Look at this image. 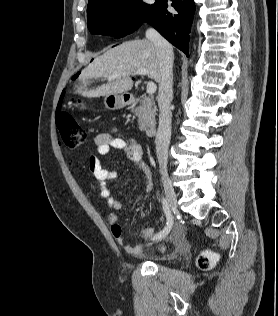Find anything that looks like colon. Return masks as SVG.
Instances as JSON below:
<instances>
[{
	"label": "colon",
	"instance_id": "1",
	"mask_svg": "<svg viewBox=\"0 0 278 316\" xmlns=\"http://www.w3.org/2000/svg\"><path fill=\"white\" fill-rule=\"evenodd\" d=\"M57 128L63 144L71 149L83 145L87 136L78 122L68 113L60 112L56 119ZM216 261V254L211 251L202 252L196 259V264L201 270H209Z\"/></svg>",
	"mask_w": 278,
	"mask_h": 316
}]
</instances>
